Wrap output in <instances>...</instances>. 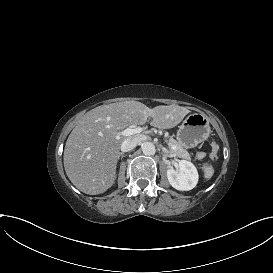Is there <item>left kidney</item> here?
I'll return each instance as SVG.
<instances>
[{
    "label": "left kidney",
    "instance_id": "obj_1",
    "mask_svg": "<svg viewBox=\"0 0 273 273\" xmlns=\"http://www.w3.org/2000/svg\"><path fill=\"white\" fill-rule=\"evenodd\" d=\"M167 178L173 188L189 191L197 185L199 176L193 163L179 160L177 170L172 167L167 170Z\"/></svg>",
    "mask_w": 273,
    "mask_h": 273
}]
</instances>
